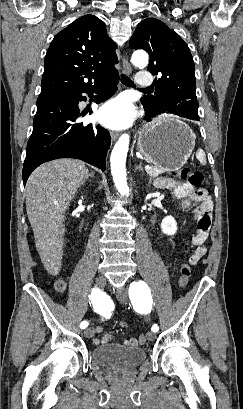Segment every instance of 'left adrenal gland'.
I'll return each mask as SVG.
<instances>
[{
  "label": "left adrenal gland",
  "mask_w": 243,
  "mask_h": 409,
  "mask_svg": "<svg viewBox=\"0 0 243 409\" xmlns=\"http://www.w3.org/2000/svg\"><path fill=\"white\" fill-rule=\"evenodd\" d=\"M143 171L142 164L140 163L138 166L135 167V171Z\"/></svg>",
  "instance_id": "left-adrenal-gland-1"
}]
</instances>
